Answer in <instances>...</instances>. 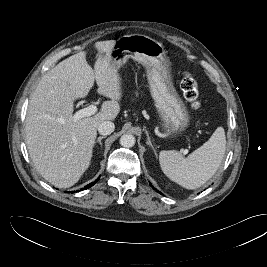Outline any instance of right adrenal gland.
Instances as JSON below:
<instances>
[{
	"label": "right adrenal gland",
	"mask_w": 267,
	"mask_h": 267,
	"mask_svg": "<svg viewBox=\"0 0 267 267\" xmlns=\"http://www.w3.org/2000/svg\"><path fill=\"white\" fill-rule=\"evenodd\" d=\"M104 138H106V136H99L98 139L96 140L95 144H96V143H99L100 147H102V142H101V140L104 139Z\"/></svg>",
	"instance_id": "obj_1"
}]
</instances>
